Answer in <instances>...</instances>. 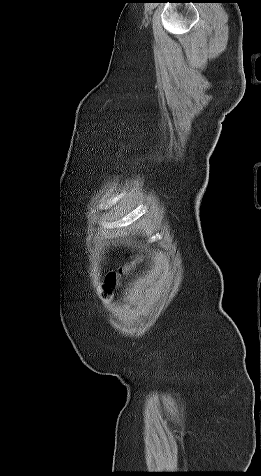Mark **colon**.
<instances>
[{
	"label": "colon",
	"mask_w": 261,
	"mask_h": 476,
	"mask_svg": "<svg viewBox=\"0 0 261 476\" xmlns=\"http://www.w3.org/2000/svg\"><path fill=\"white\" fill-rule=\"evenodd\" d=\"M117 274L116 273H111L108 277H107V280H106V290L108 291L109 289H111L112 287H115L116 283H117Z\"/></svg>",
	"instance_id": "1"
}]
</instances>
